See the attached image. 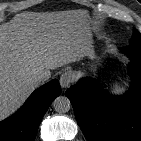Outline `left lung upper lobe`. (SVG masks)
I'll return each mask as SVG.
<instances>
[{
    "mask_svg": "<svg viewBox=\"0 0 141 141\" xmlns=\"http://www.w3.org/2000/svg\"><path fill=\"white\" fill-rule=\"evenodd\" d=\"M129 43H130V45L131 44L141 45V34L135 28L133 29V35H132V38L130 39Z\"/></svg>",
    "mask_w": 141,
    "mask_h": 141,
    "instance_id": "left-lung-upper-lobe-1",
    "label": "left lung upper lobe"
}]
</instances>
